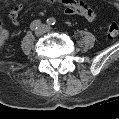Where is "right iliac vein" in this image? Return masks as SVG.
<instances>
[{
  "mask_svg": "<svg viewBox=\"0 0 119 119\" xmlns=\"http://www.w3.org/2000/svg\"><path fill=\"white\" fill-rule=\"evenodd\" d=\"M45 33V28H44V26H40L36 31H35V34L37 35V36H41V35H43Z\"/></svg>",
  "mask_w": 119,
  "mask_h": 119,
  "instance_id": "1",
  "label": "right iliac vein"
}]
</instances>
